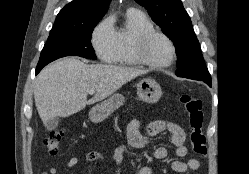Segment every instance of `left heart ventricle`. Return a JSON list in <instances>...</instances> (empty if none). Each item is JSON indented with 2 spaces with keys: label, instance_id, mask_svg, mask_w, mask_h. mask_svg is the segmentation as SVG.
<instances>
[{
  "label": "left heart ventricle",
  "instance_id": "1",
  "mask_svg": "<svg viewBox=\"0 0 249 174\" xmlns=\"http://www.w3.org/2000/svg\"><path fill=\"white\" fill-rule=\"evenodd\" d=\"M148 56L156 62H167L172 56V49L169 43L161 38H154L148 46Z\"/></svg>",
  "mask_w": 249,
  "mask_h": 174
}]
</instances>
